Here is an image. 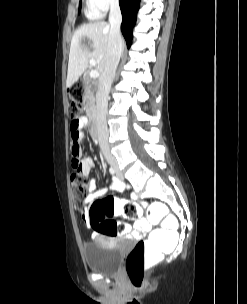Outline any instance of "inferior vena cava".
<instances>
[{"label": "inferior vena cava", "mask_w": 247, "mask_h": 304, "mask_svg": "<svg viewBox=\"0 0 247 304\" xmlns=\"http://www.w3.org/2000/svg\"><path fill=\"white\" fill-rule=\"evenodd\" d=\"M121 22L122 16L119 2L118 0H112L109 13L110 32L106 64L99 77L98 89L96 92V111L94 115V125L97 132L99 145L105 159L111 166H116L117 161L112 155L108 143L106 114L109 92L122 52V37L120 32Z\"/></svg>", "instance_id": "obj_1"}]
</instances>
